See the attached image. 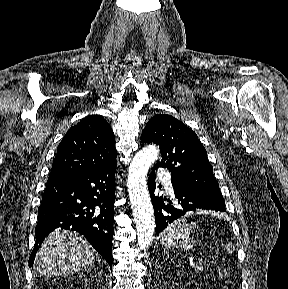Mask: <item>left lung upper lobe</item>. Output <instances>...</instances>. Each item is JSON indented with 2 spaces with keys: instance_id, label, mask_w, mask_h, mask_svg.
<instances>
[{
  "instance_id": "1",
  "label": "left lung upper lobe",
  "mask_w": 288,
  "mask_h": 289,
  "mask_svg": "<svg viewBox=\"0 0 288 289\" xmlns=\"http://www.w3.org/2000/svg\"><path fill=\"white\" fill-rule=\"evenodd\" d=\"M141 141L159 145L162 160L155 166L170 170L172 185L224 201L204 146L181 121L170 115H155L142 131Z\"/></svg>"
}]
</instances>
